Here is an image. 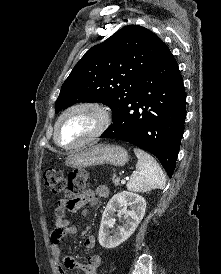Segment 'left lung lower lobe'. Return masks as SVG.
<instances>
[{
  "label": "left lung lower lobe",
  "mask_w": 221,
  "mask_h": 274,
  "mask_svg": "<svg viewBox=\"0 0 221 274\" xmlns=\"http://www.w3.org/2000/svg\"><path fill=\"white\" fill-rule=\"evenodd\" d=\"M185 102L178 64L169 51L113 115V124L101 138L127 141L152 153L171 178L184 132Z\"/></svg>",
  "instance_id": "0a47b994"
}]
</instances>
